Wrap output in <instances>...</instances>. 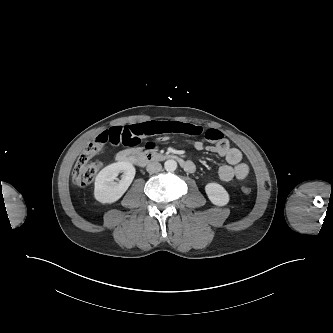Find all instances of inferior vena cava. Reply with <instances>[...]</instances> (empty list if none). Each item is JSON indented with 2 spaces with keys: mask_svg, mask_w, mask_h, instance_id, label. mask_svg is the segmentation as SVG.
<instances>
[{
  "mask_svg": "<svg viewBox=\"0 0 333 333\" xmlns=\"http://www.w3.org/2000/svg\"><path fill=\"white\" fill-rule=\"evenodd\" d=\"M147 172L150 174L160 172L162 170V166L159 162H152L147 165Z\"/></svg>",
  "mask_w": 333,
  "mask_h": 333,
  "instance_id": "inferior-vena-cava-1",
  "label": "inferior vena cava"
}]
</instances>
